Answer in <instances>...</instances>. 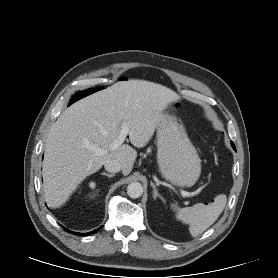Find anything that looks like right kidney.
Wrapping results in <instances>:
<instances>
[{
    "label": "right kidney",
    "mask_w": 278,
    "mask_h": 278,
    "mask_svg": "<svg viewBox=\"0 0 278 278\" xmlns=\"http://www.w3.org/2000/svg\"><path fill=\"white\" fill-rule=\"evenodd\" d=\"M89 186H90V188H91L92 190L95 189V183H94V182L90 183ZM94 195H95V194L92 192V193L88 194L87 196L91 198V197H94ZM86 198H87V197H86Z\"/></svg>",
    "instance_id": "obj_1"
}]
</instances>
